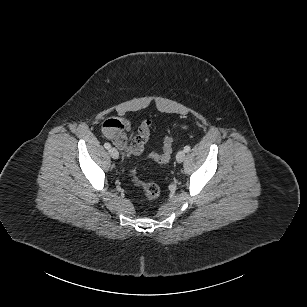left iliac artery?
I'll return each mask as SVG.
<instances>
[{
	"label": "left iliac artery",
	"mask_w": 307,
	"mask_h": 307,
	"mask_svg": "<svg viewBox=\"0 0 307 307\" xmlns=\"http://www.w3.org/2000/svg\"><path fill=\"white\" fill-rule=\"evenodd\" d=\"M184 151H185L186 153H188V152L190 151V146H189V145L185 146V147H184Z\"/></svg>",
	"instance_id": "44dca946"
}]
</instances>
